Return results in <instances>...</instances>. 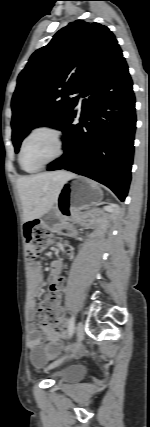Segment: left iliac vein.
<instances>
[{
    "mask_svg": "<svg viewBox=\"0 0 150 427\" xmlns=\"http://www.w3.org/2000/svg\"><path fill=\"white\" fill-rule=\"evenodd\" d=\"M76 336H77V340H78V341L82 340V338H83V336H84V325H83V323H82V322H79V323L77 324V326H76ZM63 359H64V358H62V359H59V360L55 361L54 363H52V364L48 367V369H51V368H54V367L58 366V365L63 361Z\"/></svg>",
    "mask_w": 150,
    "mask_h": 427,
    "instance_id": "4c4485c4",
    "label": "left iliac vein"
}]
</instances>
